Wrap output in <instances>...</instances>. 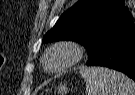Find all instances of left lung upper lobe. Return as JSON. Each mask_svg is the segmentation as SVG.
<instances>
[{
  "mask_svg": "<svg viewBox=\"0 0 135 95\" xmlns=\"http://www.w3.org/2000/svg\"><path fill=\"white\" fill-rule=\"evenodd\" d=\"M132 24L123 0H80L61 15L42 42L76 41L90 58L106 36Z\"/></svg>",
  "mask_w": 135,
  "mask_h": 95,
  "instance_id": "5c2ea615",
  "label": "left lung upper lobe"
}]
</instances>
